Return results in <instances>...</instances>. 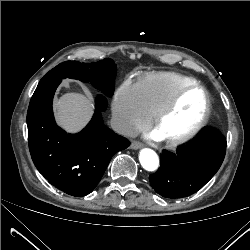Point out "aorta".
<instances>
[{"label":"aorta","instance_id":"762f6f07","mask_svg":"<svg viewBox=\"0 0 250 250\" xmlns=\"http://www.w3.org/2000/svg\"><path fill=\"white\" fill-rule=\"evenodd\" d=\"M139 160L142 167L147 171H154L159 166V158L152 149H142L139 154Z\"/></svg>","mask_w":250,"mask_h":250}]
</instances>
